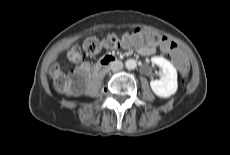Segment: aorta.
I'll use <instances>...</instances> for the list:
<instances>
[{"mask_svg": "<svg viewBox=\"0 0 230 155\" xmlns=\"http://www.w3.org/2000/svg\"><path fill=\"white\" fill-rule=\"evenodd\" d=\"M125 66L128 70H133L137 67V62L136 60L134 59H128L126 62H125Z\"/></svg>", "mask_w": 230, "mask_h": 155, "instance_id": "1", "label": "aorta"}]
</instances>
